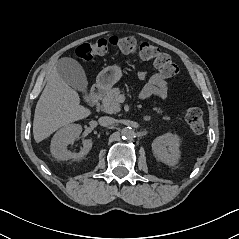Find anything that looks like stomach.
I'll return each mask as SVG.
<instances>
[{
    "label": "stomach",
    "instance_id": "stomach-1",
    "mask_svg": "<svg viewBox=\"0 0 239 239\" xmlns=\"http://www.w3.org/2000/svg\"><path fill=\"white\" fill-rule=\"evenodd\" d=\"M121 70L117 66H109L103 69L97 77V85L105 90L110 89L121 78Z\"/></svg>",
    "mask_w": 239,
    "mask_h": 239
}]
</instances>
